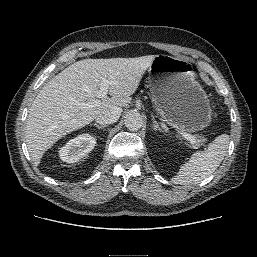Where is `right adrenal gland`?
<instances>
[{"label": "right adrenal gland", "instance_id": "2a0ac1e0", "mask_svg": "<svg viewBox=\"0 0 257 257\" xmlns=\"http://www.w3.org/2000/svg\"><path fill=\"white\" fill-rule=\"evenodd\" d=\"M93 125L98 129H104L106 127V125H98L97 123H94Z\"/></svg>", "mask_w": 257, "mask_h": 257}]
</instances>
